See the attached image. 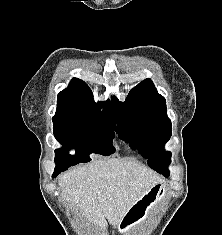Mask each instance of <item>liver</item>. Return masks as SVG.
<instances>
[{
    "label": "liver",
    "mask_w": 222,
    "mask_h": 235,
    "mask_svg": "<svg viewBox=\"0 0 222 235\" xmlns=\"http://www.w3.org/2000/svg\"><path fill=\"white\" fill-rule=\"evenodd\" d=\"M163 180L144 165L108 158L68 171L59 177L62 198L107 235V221L119 225L129 209Z\"/></svg>",
    "instance_id": "1"
}]
</instances>
